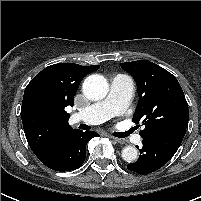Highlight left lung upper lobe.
Masks as SVG:
<instances>
[{"instance_id": "5c2ea615", "label": "left lung upper lobe", "mask_w": 201, "mask_h": 201, "mask_svg": "<svg viewBox=\"0 0 201 201\" xmlns=\"http://www.w3.org/2000/svg\"><path fill=\"white\" fill-rule=\"evenodd\" d=\"M121 67L137 84L139 102L132 121L141 122L145 126L140 131V136H184L189 110L183 90L175 76L150 61L126 62L122 63Z\"/></svg>"}]
</instances>
